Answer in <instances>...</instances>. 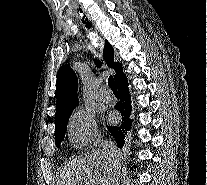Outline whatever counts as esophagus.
I'll list each match as a JSON object with an SVG mask.
<instances>
[{"label": "esophagus", "mask_w": 207, "mask_h": 185, "mask_svg": "<svg viewBox=\"0 0 207 185\" xmlns=\"http://www.w3.org/2000/svg\"><path fill=\"white\" fill-rule=\"evenodd\" d=\"M90 33H93L92 31H90ZM93 39L94 40H96V42H97V38L93 35ZM100 50H102V47L99 45V47H98Z\"/></svg>", "instance_id": "1"}]
</instances>
